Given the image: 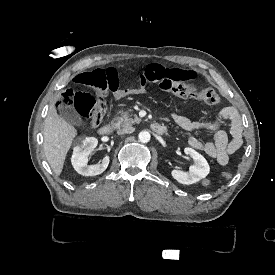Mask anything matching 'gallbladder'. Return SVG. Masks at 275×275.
<instances>
[{"label":"gallbladder","mask_w":275,"mask_h":275,"mask_svg":"<svg viewBox=\"0 0 275 275\" xmlns=\"http://www.w3.org/2000/svg\"><path fill=\"white\" fill-rule=\"evenodd\" d=\"M60 116L69 124L81 126L83 121L79 113L72 106H60L59 107Z\"/></svg>","instance_id":"obj_1"}]
</instances>
